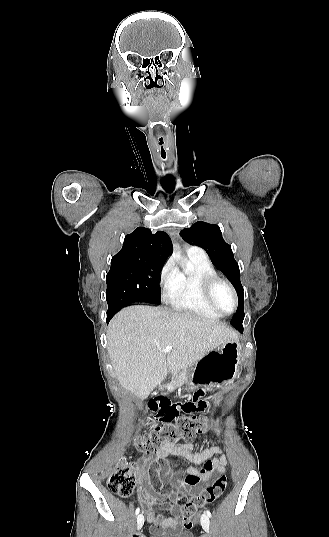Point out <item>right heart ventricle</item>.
I'll return each mask as SVG.
<instances>
[{"mask_svg":"<svg viewBox=\"0 0 329 537\" xmlns=\"http://www.w3.org/2000/svg\"><path fill=\"white\" fill-rule=\"evenodd\" d=\"M215 275L216 271L207 256L188 254V267L177 270L176 286L169 294L168 302L179 312L211 318L221 317L207 304L202 291L203 278Z\"/></svg>","mask_w":329,"mask_h":537,"instance_id":"right-heart-ventricle-1","label":"right heart ventricle"}]
</instances>
